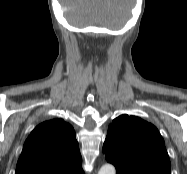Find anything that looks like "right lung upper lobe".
Listing matches in <instances>:
<instances>
[{"mask_svg": "<svg viewBox=\"0 0 187 174\" xmlns=\"http://www.w3.org/2000/svg\"><path fill=\"white\" fill-rule=\"evenodd\" d=\"M15 174H84L73 127L62 119L38 125L25 141Z\"/></svg>", "mask_w": 187, "mask_h": 174, "instance_id": "1", "label": "right lung upper lobe"}]
</instances>
